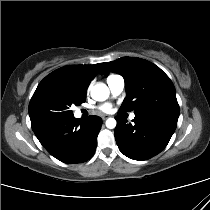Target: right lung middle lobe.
I'll use <instances>...</instances> for the list:
<instances>
[{"label":"right lung middle lobe","mask_w":210,"mask_h":210,"mask_svg":"<svg viewBox=\"0 0 210 210\" xmlns=\"http://www.w3.org/2000/svg\"><path fill=\"white\" fill-rule=\"evenodd\" d=\"M85 100V93L71 88H54L46 91L37 100L30 116L32 129L73 115L71 106H79Z\"/></svg>","instance_id":"1"}]
</instances>
